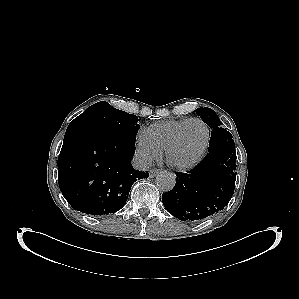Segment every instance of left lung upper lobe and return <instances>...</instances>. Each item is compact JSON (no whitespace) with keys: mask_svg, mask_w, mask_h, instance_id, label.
Listing matches in <instances>:
<instances>
[{"mask_svg":"<svg viewBox=\"0 0 299 299\" xmlns=\"http://www.w3.org/2000/svg\"><path fill=\"white\" fill-rule=\"evenodd\" d=\"M195 112L201 117V119L207 123V125L212 128L211 138L209 143L208 151H212L222 145L234 146L233 137L226 128L220 127L222 124L218 115L210 108H198Z\"/></svg>","mask_w":299,"mask_h":299,"instance_id":"1","label":"left lung upper lobe"}]
</instances>
